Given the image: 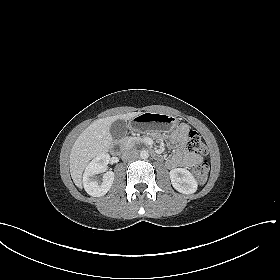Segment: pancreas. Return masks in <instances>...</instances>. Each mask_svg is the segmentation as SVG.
Masks as SVG:
<instances>
[{
    "mask_svg": "<svg viewBox=\"0 0 280 280\" xmlns=\"http://www.w3.org/2000/svg\"><path fill=\"white\" fill-rule=\"evenodd\" d=\"M136 142V138L134 137H129L126 139L125 145H133Z\"/></svg>",
    "mask_w": 280,
    "mask_h": 280,
    "instance_id": "1",
    "label": "pancreas"
}]
</instances>
